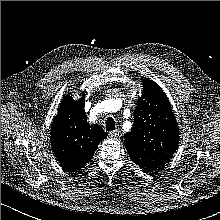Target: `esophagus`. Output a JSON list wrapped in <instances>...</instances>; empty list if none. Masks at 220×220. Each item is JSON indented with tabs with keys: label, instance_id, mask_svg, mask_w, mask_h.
Wrapping results in <instances>:
<instances>
[{
	"label": "esophagus",
	"instance_id": "esophagus-1",
	"mask_svg": "<svg viewBox=\"0 0 220 220\" xmlns=\"http://www.w3.org/2000/svg\"><path fill=\"white\" fill-rule=\"evenodd\" d=\"M108 134H109L111 137H115V138H116V137L119 136L120 131H119V129H115V130H113V131H109Z\"/></svg>",
	"mask_w": 220,
	"mask_h": 220
}]
</instances>
